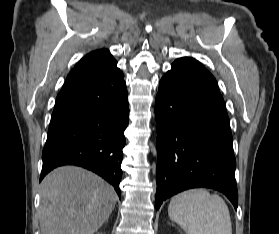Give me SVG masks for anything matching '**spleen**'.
<instances>
[{
    "mask_svg": "<svg viewBox=\"0 0 279 234\" xmlns=\"http://www.w3.org/2000/svg\"><path fill=\"white\" fill-rule=\"evenodd\" d=\"M168 214L187 234H232L225 201L202 188L174 196L168 206Z\"/></svg>",
    "mask_w": 279,
    "mask_h": 234,
    "instance_id": "spleen-1",
    "label": "spleen"
}]
</instances>
